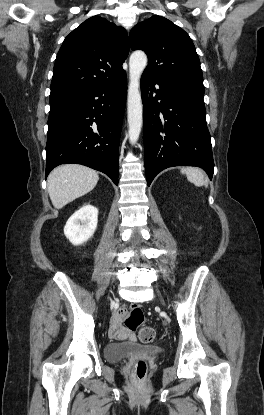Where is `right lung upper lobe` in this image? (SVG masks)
I'll use <instances>...</instances> for the list:
<instances>
[{
	"label": "right lung upper lobe",
	"mask_w": 264,
	"mask_h": 415,
	"mask_svg": "<svg viewBox=\"0 0 264 415\" xmlns=\"http://www.w3.org/2000/svg\"><path fill=\"white\" fill-rule=\"evenodd\" d=\"M128 35L100 16H93L72 31L57 54L50 99L82 92L114 81L125 71Z\"/></svg>",
	"instance_id": "right-lung-upper-lobe-1"
}]
</instances>
